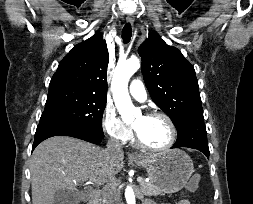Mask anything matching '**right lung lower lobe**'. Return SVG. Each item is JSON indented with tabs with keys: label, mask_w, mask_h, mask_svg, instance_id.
<instances>
[{
	"label": "right lung lower lobe",
	"mask_w": 253,
	"mask_h": 204,
	"mask_svg": "<svg viewBox=\"0 0 253 204\" xmlns=\"http://www.w3.org/2000/svg\"><path fill=\"white\" fill-rule=\"evenodd\" d=\"M57 135L71 136L93 144L100 143L103 138L96 133L88 132L77 127L62 124L40 123L35 133L32 150L43 140Z\"/></svg>",
	"instance_id": "obj_1"
}]
</instances>
